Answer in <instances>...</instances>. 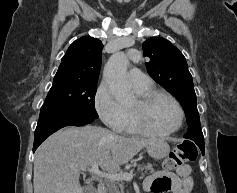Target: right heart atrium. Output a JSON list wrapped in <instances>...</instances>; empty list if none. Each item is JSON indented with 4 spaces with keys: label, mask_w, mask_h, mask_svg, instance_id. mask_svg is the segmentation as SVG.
<instances>
[{
    "label": "right heart atrium",
    "mask_w": 237,
    "mask_h": 193,
    "mask_svg": "<svg viewBox=\"0 0 237 193\" xmlns=\"http://www.w3.org/2000/svg\"><path fill=\"white\" fill-rule=\"evenodd\" d=\"M94 107L102 122L115 132H122L125 110L105 83H101L94 95Z\"/></svg>",
    "instance_id": "1"
}]
</instances>
